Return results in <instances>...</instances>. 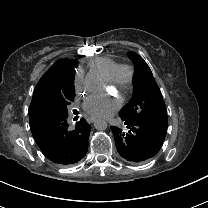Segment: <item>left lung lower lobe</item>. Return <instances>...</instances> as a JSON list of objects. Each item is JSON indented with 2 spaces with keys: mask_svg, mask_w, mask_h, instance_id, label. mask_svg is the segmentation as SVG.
I'll use <instances>...</instances> for the list:
<instances>
[{
  "mask_svg": "<svg viewBox=\"0 0 208 208\" xmlns=\"http://www.w3.org/2000/svg\"><path fill=\"white\" fill-rule=\"evenodd\" d=\"M121 126H111L118 153L131 163H144L162 147L167 130L148 121L120 113Z\"/></svg>",
  "mask_w": 208,
  "mask_h": 208,
  "instance_id": "1",
  "label": "left lung lower lobe"
}]
</instances>
